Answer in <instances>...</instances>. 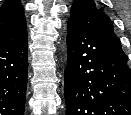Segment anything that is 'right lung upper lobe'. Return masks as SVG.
Returning <instances> with one entry per match:
<instances>
[{
  "mask_svg": "<svg viewBox=\"0 0 131 115\" xmlns=\"http://www.w3.org/2000/svg\"><path fill=\"white\" fill-rule=\"evenodd\" d=\"M26 35V21L20 1H6L0 9V48L17 43Z\"/></svg>",
  "mask_w": 131,
  "mask_h": 115,
  "instance_id": "obj_1",
  "label": "right lung upper lobe"
}]
</instances>
